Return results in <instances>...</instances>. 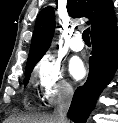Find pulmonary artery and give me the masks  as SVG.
<instances>
[{"label":"pulmonary artery","mask_w":118,"mask_h":123,"mask_svg":"<svg viewBox=\"0 0 118 123\" xmlns=\"http://www.w3.org/2000/svg\"><path fill=\"white\" fill-rule=\"evenodd\" d=\"M69 46L75 52H80L83 50L84 43L82 41L80 33L76 32L75 34H73Z\"/></svg>","instance_id":"1"}]
</instances>
